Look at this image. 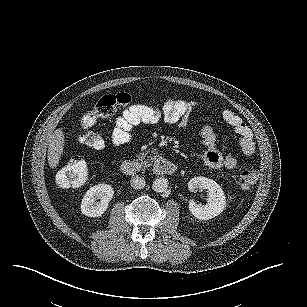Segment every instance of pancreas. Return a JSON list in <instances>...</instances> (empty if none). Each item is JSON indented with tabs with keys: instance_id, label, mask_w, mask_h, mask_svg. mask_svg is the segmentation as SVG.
<instances>
[{
	"instance_id": "pancreas-1",
	"label": "pancreas",
	"mask_w": 307,
	"mask_h": 307,
	"mask_svg": "<svg viewBox=\"0 0 307 307\" xmlns=\"http://www.w3.org/2000/svg\"><path fill=\"white\" fill-rule=\"evenodd\" d=\"M137 161L141 165V169L144 170L145 168L151 167L152 163L150 161V158L147 156L146 153H140L137 155Z\"/></svg>"
}]
</instances>
